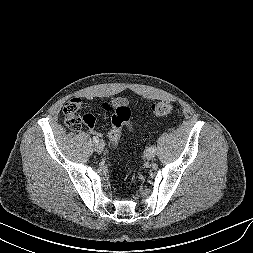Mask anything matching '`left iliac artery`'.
<instances>
[{
	"instance_id": "obj_1",
	"label": "left iliac artery",
	"mask_w": 253,
	"mask_h": 253,
	"mask_svg": "<svg viewBox=\"0 0 253 253\" xmlns=\"http://www.w3.org/2000/svg\"><path fill=\"white\" fill-rule=\"evenodd\" d=\"M151 151L156 152V147L152 146L149 148Z\"/></svg>"
}]
</instances>
